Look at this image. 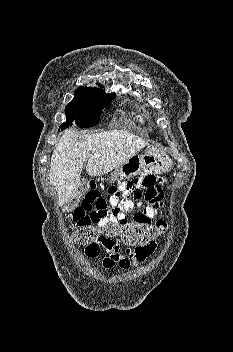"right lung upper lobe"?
Returning a JSON list of instances; mask_svg holds the SVG:
<instances>
[{
	"mask_svg": "<svg viewBox=\"0 0 233 352\" xmlns=\"http://www.w3.org/2000/svg\"><path fill=\"white\" fill-rule=\"evenodd\" d=\"M84 88H88V87H79V88L75 91V93L81 91V90L84 89Z\"/></svg>",
	"mask_w": 233,
	"mask_h": 352,
	"instance_id": "right-lung-upper-lobe-1",
	"label": "right lung upper lobe"
}]
</instances>
